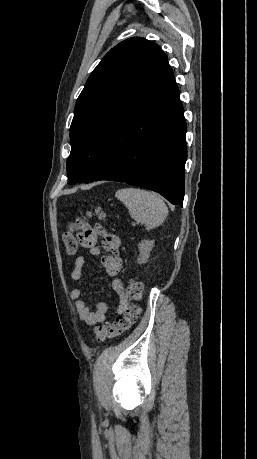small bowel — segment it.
Listing matches in <instances>:
<instances>
[{"mask_svg": "<svg viewBox=\"0 0 257 459\" xmlns=\"http://www.w3.org/2000/svg\"><path fill=\"white\" fill-rule=\"evenodd\" d=\"M77 226L78 227H70L69 234L70 236H76L78 246L87 247L91 256L100 255V247L97 246L95 242L98 237H101L102 246L108 252L101 256V264L106 273L113 277L111 286L119 296V304L115 313H123L128 306V300L125 295L123 282L118 278L122 269V259L119 256V248L121 245L120 238L115 234L109 233L100 224L90 227V222L88 220L79 221ZM85 265L86 260L83 256L75 258L74 267L70 274L73 281H79L82 278ZM70 297L75 300V310L81 321L88 325H95L106 321L109 314L107 303L98 302L95 304L94 309H92L82 298V290L80 288H73L70 292Z\"/></svg>", "mask_w": 257, "mask_h": 459, "instance_id": "obj_1", "label": "small bowel"}]
</instances>
